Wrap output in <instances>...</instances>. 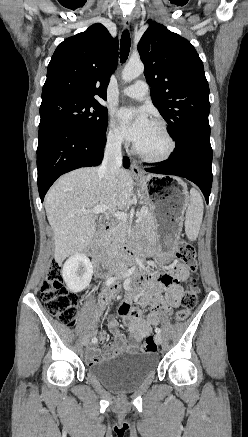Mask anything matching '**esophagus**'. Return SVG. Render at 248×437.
<instances>
[{
	"instance_id": "34e87169",
	"label": "esophagus",
	"mask_w": 248,
	"mask_h": 437,
	"mask_svg": "<svg viewBox=\"0 0 248 437\" xmlns=\"http://www.w3.org/2000/svg\"><path fill=\"white\" fill-rule=\"evenodd\" d=\"M130 24H131V17L130 16H124L123 17V26L125 29H129L130 28ZM131 172L134 176H143L142 171L140 170V168L138 167V165L136 164L135 161H132L131 163Z\"/></svg>"
}]
</instances>
